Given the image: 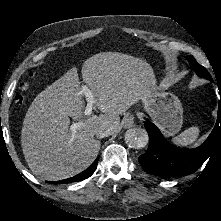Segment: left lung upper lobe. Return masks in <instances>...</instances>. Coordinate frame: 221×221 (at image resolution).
<instances>
[{
    "label": "left lung upper lobe",
    "instance_id": "obj_1",
    "mask_svg": "<svg viewBox=\"0 0 221 221\" xmlns=\"http://www.w3.org/2000/svg\"><path fill=\"white\" fill-rule=\"evenodd\" d=\"M187 60L189 61L191 67L195 70V72L200 77H204V78L209 79V80L211 79V76L209 75L208 71L203 66L198 64L193 57L188 56Z\"/></svg>",
    "mask_w": 221,
    "mask_h": 221
}]
</instances>
